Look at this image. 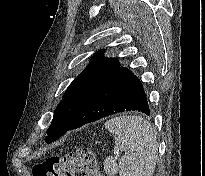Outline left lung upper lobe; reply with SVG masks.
Segmentation results:
<instances>
[{
  "label": "left lung upper lobe",
  "mask_w": 205,
  "mask_h": 176,
  "mask_svg": "<svg viewBox=\"0 0 205 176\" xmlns=\"http://www.w3.org/2000/svg\"><path fill=\"white\" fill-rule=\"evenodd\" d=\"M116 58L103 57V50L92 57L91 63L69 85L47 130L46 143L56 141L71 125L81 103L96 92L118 69Z\"/></svg>",
  "instance_id": "5c2ea615"
}]
</instances>
